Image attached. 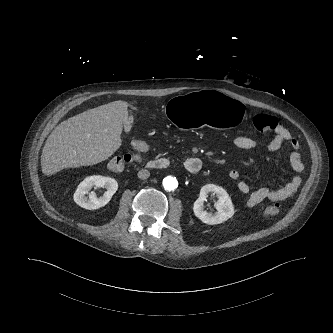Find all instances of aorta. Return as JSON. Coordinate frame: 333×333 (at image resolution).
<instances>
[{"label": "aorta", "instance_id": "1", "mask_svg": "<svg viewBox=\"0 0 333 333\" xmlns=\"http://www.w3.org/2000/svg\"><path fill=\"white\" fill-rule=\"evenodd\" d=\"M163 186L165 190L173 191L178 187V181L172 176H167L163 179Z\"/></svg>", "mask_w": 333, "mask_h": 333}]
</instances>
